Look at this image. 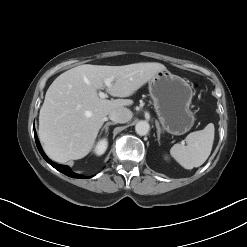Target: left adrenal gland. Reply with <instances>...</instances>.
Returning a JSON list of instances; mask_svg holds the SVG:
<instances>
[{
  "mask_svg": "<svg viewBox=\"0 0 247 247\" xmlns=\"http://www.w3.org/2000/svg\"><path fill=\"white\" fill-rule=\"evenodd\" d=\"M155 123H156V128H157V141L160 144L161 128H160L159 123H158L157 120L155 121Z\"/></svg>",
  "mask_w": 247,
  "mask_h": 247,
  "instance_id": "obj_1",
  "label": "left adrenal gland"
}]
</instances>
